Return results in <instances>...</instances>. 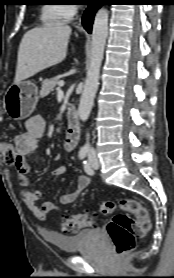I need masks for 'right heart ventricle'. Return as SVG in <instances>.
Here are the masks:
<instances>
[{"label":"right heart ventricle","mask_w":174,"mask_h":278,"mask_svg":"<svg viewBox=\"0 0 174 278\" xmlns=\"http://www.w3.org/2000/svg\"><path fill=\"white\" fill-rule=\"evenodd\" d=\"M41 19L45 25H56L68 20L64 11V5L46 4L42 7Z\"/></svg>","instance_id":"right-heart-ventricle-1"}]
</instances>
